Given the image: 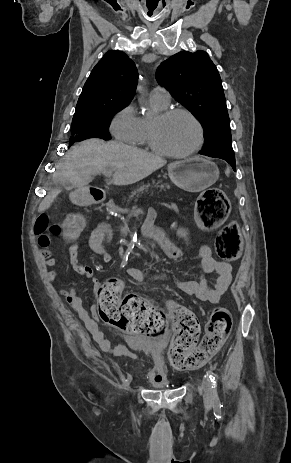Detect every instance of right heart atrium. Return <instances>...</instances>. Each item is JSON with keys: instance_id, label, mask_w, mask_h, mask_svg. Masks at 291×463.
<instances>
[{"instance_id": "right-heart-atrium-1", "label": "right heart atrium", "mask_w": 291, "mask_h": 463, "mask_svg": "<svg viewBox=\"0 0 291 463\" xmlns=\"http://www.w3.org/2000/svg\"><path fill=\"white\" fill-rule=\"evenodd\" d=\"M110 130L114 137L127 144H135L140 132V119L132 104L119 110L111 120Z\"/></svg>"}]
</instances>
